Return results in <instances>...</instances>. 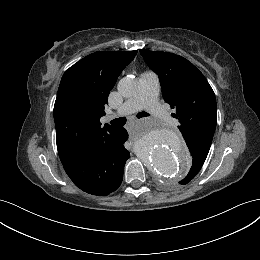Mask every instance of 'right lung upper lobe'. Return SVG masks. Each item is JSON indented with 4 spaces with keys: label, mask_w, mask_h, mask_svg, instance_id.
Returning a JSON list of instances; mask_svg holds the SVG:
<instances>
[{
    "label": "right lung upper lobe",
    "mask_w": 260,
    "mask_h": 260,
    "mask_svg": "<svg viewBox=\"0 0 260 260\" xmlns=\"http://www.w3.org/2000/svg\"><path fill=\"white\" fill-rule=\"evenodd\" d=\"M130 52H95L64 73L54 105L56 142L60 160L65 164L80 152L117 129L105 124L108 95L123 69L134 59Z\"/></svg>",
    "instance_id": "1"
}]
</instances>
